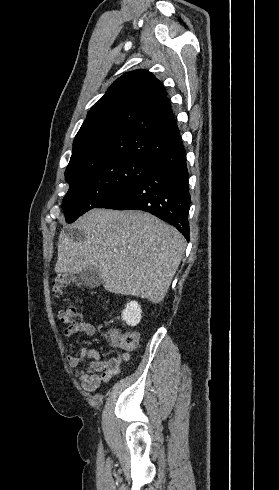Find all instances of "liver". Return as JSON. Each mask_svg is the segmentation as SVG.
<instances>
[{
  "label": "liver",
  "mask_w": 279,
  "mask_h": 490,
  "mask_svg": "<svg viewBox=\"0 0 279 490\" xmlns=\"http://www.w3.org/2000/svg\"><path fill=\"white\" fill-rule=\"evenodd\" d=\"M84 242L64 232L58 240L56 274H79L98 268L112 294L164 300L183 258L186 242L173 226L140 210H90L74 224Z\"/></svg>",
  "instance_id": "obj_1"
}]
</instances>
